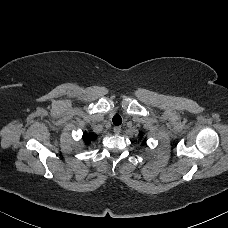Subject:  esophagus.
<instances>
[{
	"label": "esophagus",
	"mask_w": 228,
	"mask_h": 228,
	"mask_svg": "<svg viewBox=\"0 0 228 228\" xmlns=\"http://www.w3.org/2000/svg\"><path fill=\"white\" fill-rule=\"evenodd\" d=\"M113 132L115 135H118L121 132V127H114Z\"/></svg>",
	"instance_id": "34e87169"
}]
</instances>
